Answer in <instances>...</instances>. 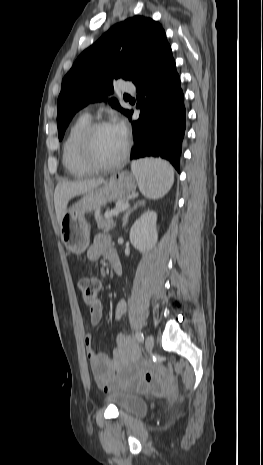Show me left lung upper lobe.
Segmentation results:
<instances>
[{
	"mask_svg": "<svg viewBox=\"0 0 263 465\" xmlns=\"http://www.w3.org/2000/svg\"><path fill=\"white\" fill-rule=\"evenodd\" d=\"M166 44L159 23L134 16L114 25L82 52L62 81L57 101L59 140L78 110L90 102L107 100V95L113 93L114 80L133 81ZM109 103L126 114L115 98Z\"/></svg>",
	"mask_w": 263,
	"mask_h": 465,
	"instance_id": "5c2ea615",
	"label": "left lung upper lobe"
}]
</instances>
